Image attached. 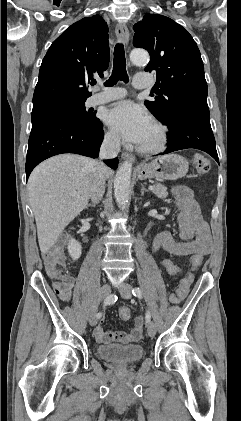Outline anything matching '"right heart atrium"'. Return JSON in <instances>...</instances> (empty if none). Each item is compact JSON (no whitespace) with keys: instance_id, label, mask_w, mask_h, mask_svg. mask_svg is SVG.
<instances>
[{"instance_id":"right-heart-atrium-1","label":"right heart atrium","mask_w":241,"mask_h":421,"mask_svg":"<svg viewBox=\"0 0 241 421\" xmlns=\"http://www.w3.org/2000/svg\"><path fill=\"white\" fill-rule=\"evenodd\" d=\"M105 142L111 147H117L119 145V138L113 131H107Z\"/></svg>"}]
</instances>
